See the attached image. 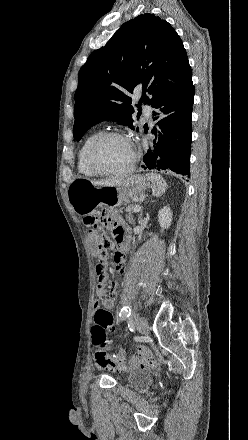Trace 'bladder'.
<instances>
[{
  "label": "bladder",
  "mask_w": 248,
  "mask_h": 440,
  "mask_svg": "<svg viewBox=\"0 0 248 440\" xmlns=\"http://www.w3.org/2000/svg\"><path fill=\"white\" fill-rule=\"evenodd\" d=\"M123 379L130 383L141 385L147 383L150 379V376L145 370L131 369L123 372Z\"/></svg>",
  "instance_id": "bladder-1"
}]
</instances>
